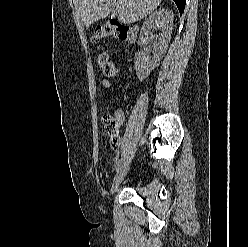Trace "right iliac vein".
<instances>
[{
	"instance_id": "obj_1",
	"label": "right iliac vein",
	"mask_w": 248,
	"mask_h": 247,
	"mask_svg": "<svg viewBox=\"0 0 248 247\" xmlns=\"http://www.w3.org/2000/svg\"><path fill=\"white\" fill-rule=\"evenodd\" d=\"M130 163H131V159L127 160L125 165L116 174V176L114 178V181L112 183L111 191H110L112 195L116 193V191L118 190L121 182L123 181L124 177L128 173Z\"/></svg>"
}]
</instances>
